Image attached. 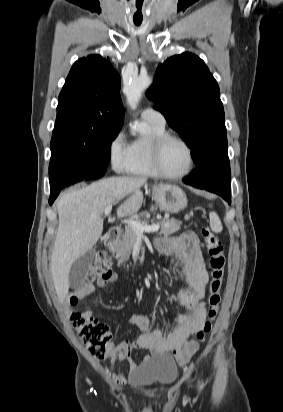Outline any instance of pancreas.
Listing matches in <instances>:
<instances>
[{"label": "pancreas", "instance_id": "pancreas-1", "mask_svg": "<svg viewBox=\"0 0 283 412\" xmlns=\"http://www.w3.org/2000/svg\"><path fill=\"white\" fill-rule=\"evenodd\" d=\"M192 216L193 213L186 215L185 220H189ZM139 222L144 225L147 224V221ZM157 224L161 226L160 234L168 236L180 230L182 222L175 220L174 218L169 219L168 217H164L163 219L158 221ZM137 237L138 232L135 231L132 227L127 226L125 228V232L121 235V238L113 242L111 246V252L116 254L115 258L119 263H123L129 259Z\"/></svg>", "mask_w": 283, "mask_h": 412}]
</instances>
